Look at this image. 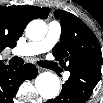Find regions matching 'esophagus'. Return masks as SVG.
I'll use <instances>...</instances> for the list:
<instances>
[{
	"label": "esophagus",
	"mask_w": 103,
	"mask_h": 103,
	"mask_svg": "<svg viewBox=\"0 0 103 103\" xmlns=\"http://www.w3.org/2000/svg\"><path fill=\"white\" fill-rule=\"evenodd\" d=\"M37 70H38V72H42L43 68H41L40 66H37Z\"/></svg>",
	"instance_id": "1"
}]
</instances>
